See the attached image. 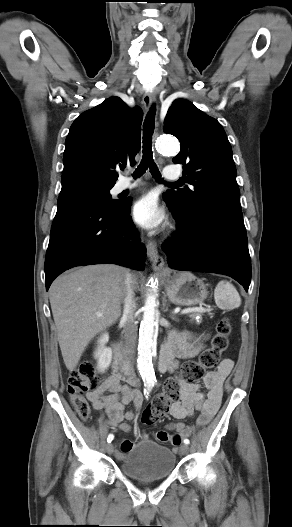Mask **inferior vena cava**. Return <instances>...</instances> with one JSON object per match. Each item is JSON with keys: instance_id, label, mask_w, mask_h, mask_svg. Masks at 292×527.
Segmentation results:
<instances>
[{"instance_id": "602c4592", "label": "inferior vena cava", "mask_w": 292, "mask_h": 527, "mask_svg": "<svg viewBox=\"0 0 292 527\" xmlns=\"http://www.w3.org/2000/svg\"><path fill=\"white\" fill-rule=\"evenodd\" d=\"M125 285L124 308L121 321L123 322L128 358L133 363L136 351L138 326L135 320L136 300L133 291V277L128 272L126 274Z\"/></svg>"}]
</instances>
